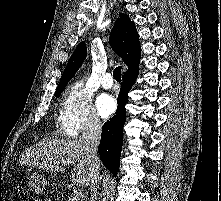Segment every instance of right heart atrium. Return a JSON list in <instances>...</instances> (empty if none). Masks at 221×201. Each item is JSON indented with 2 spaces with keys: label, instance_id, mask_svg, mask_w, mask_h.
Returning a JSON list of instances; mask_svg holds the SVG:
<instances>
[{
  "label": "right heart atrium",
  "instance_id": "1",
  "mask_svg": "<svg viewBox=\"0 0 221 201\" xmlns=\"http://www.w3.org/2000/svg\"><path fill=\"white\" fill-rule=\"evenodd\" d=\"M59 122L62 131L70 136L100 127L91 95L83 83L75 82L66 89Z\"/></svg>",
  "mask_w": 221,
  "mask_h": 201
}]
</instances>
